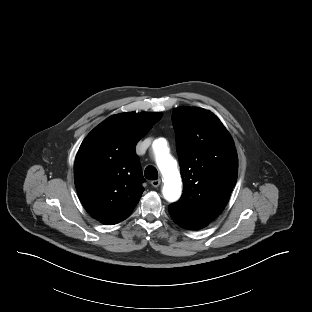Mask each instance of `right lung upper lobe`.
<instances>
[{
  "mask_svg": "<svg viewBox=\"0 0 312 312\" xmlns=\"http://www.w3.org/2000/svg\"><path fill=\"white\" fill-rule=\"evenodd\" d=\"M161 117L156 112L110 116L81 144L75 186L84 208L101 223L117 224L137 205L145 179L135 146Z\"/></svg>",
  "mask_w": 312,
  "mask_h": 312,
  "instance_id": "right-lung-upper-lobe-1",
  "label": "right lung upper lobe"
}]
</instances>
